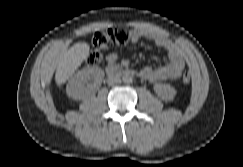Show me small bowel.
<instances>
[{
  "mask_svg": "<svg viewBox=\"0 0 243 167\" xmlns=\"http://www.w3.org/2000/svg\"><path fill=\"white\" fill-rule=\"evenodd\" d=\"M147 38L157 47L166 51L168 62L160 67L153 68L146 66L141 69V77L149 82H157L167 79H178L186 68V63L182 50L163 34L150 31L144 28H136L132 31V41ZM118 55L114 52L109 53L106 57L108 64H114Z\"/></svg>",
  "mask_w": 243,
  "mask_h": 167,
  "instance_id": "1",
  "label": "small bowel"
}]
</instances>
